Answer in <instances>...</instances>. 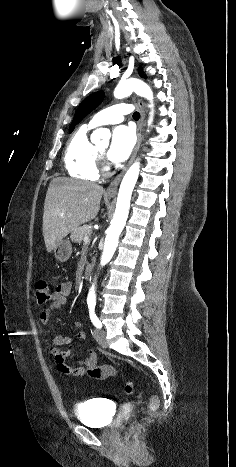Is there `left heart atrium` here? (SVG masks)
<instances>
[{"instance_id": "39dd6f15", "label": "left heart atrium", "mask_w": 236, "mask_h": 467, "mask_svg": "<svg viewBox=\"0 0 236 467\" xmlns=\"http://www.w3.org/2000/svg\"><path fill=\"white\" fill-rule=\"evenodd\" d=\"M135 135L133 130L125 125L117 126L113 130L112 141L108 151L109 158L114 162L125 161L134 146Z\"/></svg>"}]
</instances>
